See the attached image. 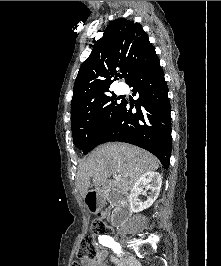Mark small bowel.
<instances>
[{"mask_svg": "<svg viewBox=\"0 0 221 266\" xmlns=\"http://www.w3.org/2000/svg\"><path fill=\"white\" fill-rule=\"evenodd\" d=\"M107 257V251L102 248L98 251L97 258L93 261H82L81 264L78 262H74L72 266H106L104 261ZM113 261L120 266H134V264L130 261H123L118 258H113Z\"/></svg>", "mask_w": 221, "mask_h": 266, "instance_id": "small-bowel-1", "label": "small bowel"}]
</instances>
